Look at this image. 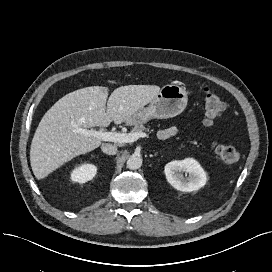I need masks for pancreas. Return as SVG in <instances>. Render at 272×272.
<instances>
[{
  "instance_id": "1",
  "label": "pancreas",
  "mask_w": 272,
  "mask_h": 272,
  "mask_svg": "<svg viewBox=\"0 0 272 272\" xmlns=\"http://www.w3.org/2000/svg\"><path fill=\"white\" fill-rule=\"evenodd\" d=\"M143 131H149V128L145 127L143 124L135 125V127L132 129V132H143Z\"/></svg>"
}]
</instances>
